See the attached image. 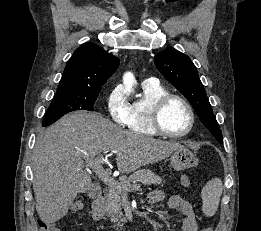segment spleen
<instances>
[{"mask_svg":"<svg viewBox=\"0 0 261 231\" xmlns=\"http://www.w3.org/2000/svg\"><path fill=\"white\" fill-rule=\"evenodd\" d=\"M223 185L219 178L208 181L201 191L203 200L202 211L206 216H213L219 206Z\"/></svg>","mask_w":261,"mask_h":231,"instance_id":"obj_1","label":"spleen"}]
</instances>
